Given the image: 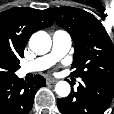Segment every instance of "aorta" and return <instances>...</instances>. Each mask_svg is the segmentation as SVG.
<instances>
[{
    "mask_svg": "<svg viewBox=\"0 0 114 114\" xmlns=\"http://www.w3.org/2000/svg\"><path fill=\"white\" fill-rule=\"evenodd\" d=\"M30 48L38 55H43L49 52L52 41L50 35L45 31L34 33L29 41ZM70 84L67 81H59L55 86V92L60 97H67L70 93Z\"/></svg>",
    "mask_w": 114,
    "mask_h": 114,
    "instance_id": "762f6f07",
    "label": "aorta"
}]
</instances>
